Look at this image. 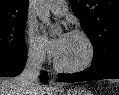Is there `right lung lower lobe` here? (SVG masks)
Instances as JSON below:
<instances>
[{"mask_svg":"<svg viewBox=\"0 0 119 95\" xmlns=\"http://www.w3.org/2000/svg\"><path fill=\"white\" fill-rule=\"evenodd\" d=\"M26 47L20 52H0V77H15L19 75L26 64ZM48 74L42 72L40 79L46 83Z\"/></svg>","mask_w":119,"mask_h":95,"instance_id":"1","label":"right lung lower lobe"}]
</instances>
